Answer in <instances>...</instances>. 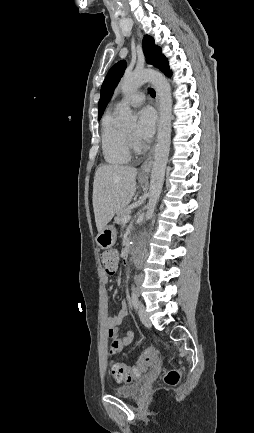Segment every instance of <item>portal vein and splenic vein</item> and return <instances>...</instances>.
Returning a JSON list of instances; mask_svg holds the SVG:
<instances>
[{
	"label": "portal vein and splenic vein",
	"instance_id": "18ae733b",
	"mask_svg": "<svg viewBox=\"0 0 254 433\" xmlns=\"http://www.w3.org/2000/svg\"><path fill=\"white\" fill-rule=\"evenodd\" d=\"M130 218H131L130 215L125 216V217L123 218V222H124V223H127V222L130 220Z\"/></svg>",
	"mask_w": 254,
	"mask_h": 433
}]
</instances>
